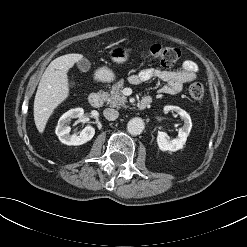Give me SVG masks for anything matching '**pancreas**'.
I'll return each mask as SVG.
<instances>
[{
    "instance_id": "obj_1",
    "label": "pancreas",
    "mask_w": 247,
    "mask_h": 247,
    "mask_svg": "<svg viewBox=\"0 0 247 247\" xmlns=\"http://www.w3.org/2000/svg\"><path fill=\"white\" fill-rule=\"evenodd\" d=\"M123 87V81H119L112 86L110 93L102 92V97L107 104L117 108L126 107L127 98L122 94Z\"/></svg>"
}]
</instances>
